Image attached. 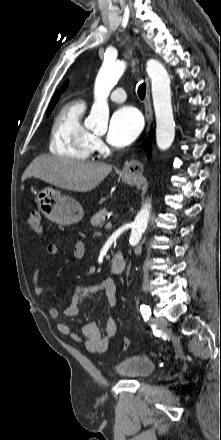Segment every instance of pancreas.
Segmentation results:
<instances>
[{
  "instance_id": "cf45deb5",
  "label": "pancreas",
  "mask_w": 221,
  "mask_h": 440,
  "mask_svg": "<svg viewBox=\"0 0 221 440\" xmlns=\"http://www.w3.org/2000/svg\"><path fill=\"white\" fill-rule=\"evenodd\" d=\"M108 214H109L108 210L104 208L93 215V217L90 220V223L94 227H99V226L101 227L105 223Z\"/></svg>"
}]
</instances>
